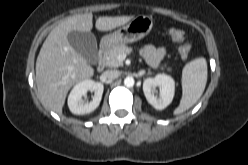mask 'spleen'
<instances>
[{"label": "spleen", "instance_id": "1", "mask_svg": "<svg viewBox=\"0 0 248 165\" xmlns=\"http://www.w3.org/2000/svg\"><path fill=\"white\" fill-rule=\"evenodd\" d=\"M207 82V62L203 57L187 63L182 71V98L174 115L191 108L202 96Z\"/></svg>", "mask_w": 248, "mask_h": 165}]
</instances>
